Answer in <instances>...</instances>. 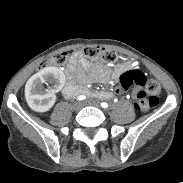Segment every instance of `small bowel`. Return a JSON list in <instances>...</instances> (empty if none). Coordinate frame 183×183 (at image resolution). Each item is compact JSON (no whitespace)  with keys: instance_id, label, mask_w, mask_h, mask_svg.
<instances>
[{"instance_id":"obj_1","label":"small bowel","mask_w":183,"mask_h":183,"mask_svg":"<svg viewBox=\"0 0 183 183\" xmlns=\"http://www.w3.org/2000/svg\"><path fill=\"white\" fill-rule=\"evenodd\" d=\"M78 62H79V64L81 65V67L83 69H88L89 68L88 64L84 60L79 59ZM132 68H133L132 64L129 63L125 66H122V67L118 68L114 73H112L110 69L96 66L92 69V73H93L94 76H100L102 78H108V77H111V76L118 77L119 75H121L122 73H124L126 71L137 70V69H132ZM92 95L96 98H99V99H108V98H111L113 96V93L112 92H107V91H97V92H94Z\"/></svg>"}]
</instances>
